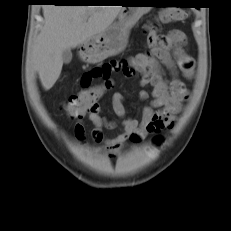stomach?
Returning a JSON list of instances; mask_svg holds the SVG:
<instances>
[{"label": "stomach", "instance_id": "0dacf381", "mask_svg": "<svg viewBox=\"0 0 231 231\" xmlns=\"http://www.w3.org/2000/svg\"><path fill=\"white\" fill-rule=\"evenodd\" d=\"M127 3L145 4L148 1L129 0ZM150 9L151 7H123L117 22L83 42V50L79 51L81 59L88 63H98L121 53L127 45L131 28Z\"/></svg>", "mask_w": 231, "mask_h": 231}]
</instances>
